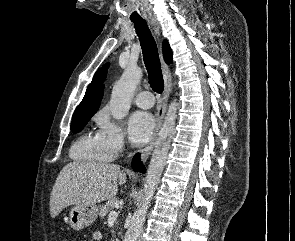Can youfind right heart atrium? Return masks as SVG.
Here are the masks:
<instances>
[{"mask_svg": "<svg viewBox=\"0 0 295 241\" xmlns=\"http://www.w3.org/2000/svg\"><path fill=\"white\" fill-rule=\"evenodd\" d=\"M98 132L102 135L113 156L124 150L126 146L125 131L122 126L112 120L105 109L96 115Z\"/></svg>", "mask_w": 295, "mask_h": 241, "instance_id": "right-heart-atrium-1", "label": "right heart atrium"}]
</instances>
